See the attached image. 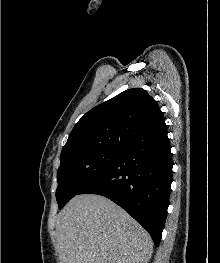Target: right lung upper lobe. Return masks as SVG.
I'll return each mask as SVG.
<instances>
[{
	"label": "right lung upper lobe",
	"instance_id": "right-lung-upper-lobe-1",
	"mask_svg": "<svg viewBox=\"0 0 220 263\" xmlns=\"http://www.w3.org/2000/svg\"><path fill=\"white\" fill-rule=\"evenodd\" d=\"M167 132L156 101L141 88L126 90L95 106L76 123L61 155L92 148L125 149Z\"/></svg>",
	"mask_w": 220,
	"mask_h": 263
}]
</instances>
